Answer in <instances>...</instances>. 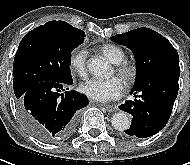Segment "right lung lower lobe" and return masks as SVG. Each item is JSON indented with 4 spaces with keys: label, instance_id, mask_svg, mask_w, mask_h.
Here are the masks:
<instances>
[{
    "label": "right lung lower lobe",
    "instance_id": "1",
    "mask_svg": "<svg viewBox=\"0 0 190 165\" xmlns=\"http://www.w3.org/2000/svg\"><path fill=\"white\" fill-rule=\"evenodd\" d=\"M72 83L73 80L40 82L31 86L17 101L23 124L39 140L50 142L73 132L79 110L88 105V99L73 90L61 93Z\"/></svg>",
    "mask_w": 190,
    "mask_h": 165
}]
</instances>
